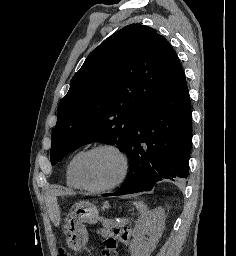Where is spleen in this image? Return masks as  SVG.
Returning <instances> with one entry per match:
<instances>
[{"instance_id":"obj_1","label":"spleen","mask_w":236,"mask_h":256,"mask_svg":"<svg viewBox=\"0 0 236 256\" xmlns=\"http://www.w3.org/2000/svg\"><path fill=\"white\" fill-rule=\"evenodd\" d=\"M134 206H136L137 210H140V212H144L146 206L143 204V202H133Z\"/></svg>"}]
</instances>
